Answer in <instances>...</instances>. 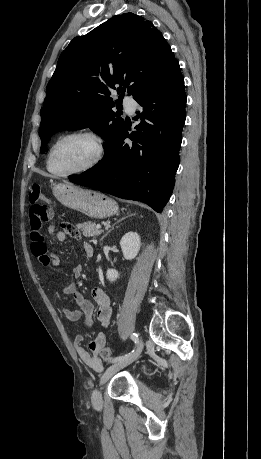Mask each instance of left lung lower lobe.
<instances>
[{
	"instance_id": "obj_1",
	"label": "left lung lower lobe",
	"mask_w": 261,
	"mask_h": 459,
	"mask_svg": "<svg viewBox=\"0 0 261 459\" xmlns=\"http://www.w3.org/2000/svg\"><path fill=\"white\" fill-rule=\"evenodd\" d=\"M135 100L142 106L134 118L139 122L137 131L128 133L125 126L98 165L69 176V180L119 198L145 202L161 212L173 191L186 117L184 79L178 61ZM125 138L132 143L125 144Z\"/></svg>"
}]
</instances>
